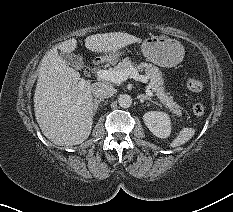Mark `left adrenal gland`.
Instances as JSON below:
<instances>
[{
    "label": "left adrenal gland",
    "mask_w": 233,
    "mask_h": 212,
    "mask_svg": "<svg viewBox=\"0 0 233 212\" xmlns=\"http://www.w3.org/2000/svg\"><path fill=\"white\" fill-rule=\"evenodd\" d=\"M142 100H149L150 102L156 104V105H160L157 101L152 100L150 97H148L147 95H142Z\"/></svg>",
    "instance_id": "a2214340"
}]
</instances>
